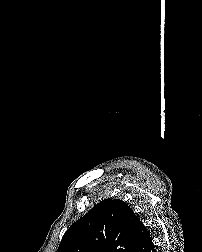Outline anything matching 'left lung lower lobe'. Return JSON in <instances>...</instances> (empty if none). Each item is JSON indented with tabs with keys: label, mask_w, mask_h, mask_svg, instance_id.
<instances>
[{
	"label": "left lung lower lobe",
	"mask_w": 202,
	"mask_h": 252,
	"mask_svg": "<svg viewBox=\"0 0 202 252\" xmlns=\"http://www.w3.org/2000/svg\"><path fill=\"white\" fill-rule=\"evenodd\" d=\"M133 252H156V247L152 242V238L143 223L139 226Z\"/></svg>",
	"instance_id": "1"
}]
</instances>
